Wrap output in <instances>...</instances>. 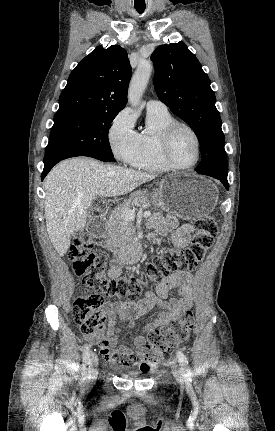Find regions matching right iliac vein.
<instances>
[{"instance_id": "63e3f726", "label": "right iliac vein", "mask_w": 275, "mask_h": 431, "mask_svg": "<svg viewBox=\"0 0 275 431\" xmlns=\"http://www.w3.org/2000/svg\"><path fill=\"white\" fill-rule=\"evenodd\" d=\"M89 369H88V375L90 378H94L96 377V375L98 374V370H97V365H98V360H97V356L93 353L89 359Z\"/></svg>"}]
</instances>
